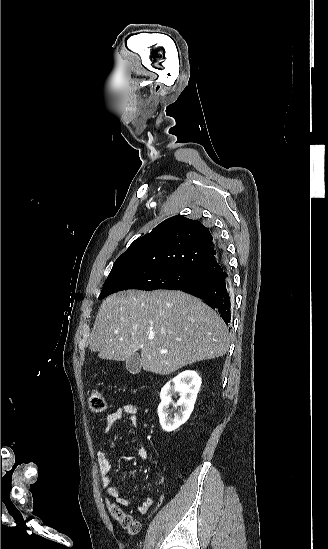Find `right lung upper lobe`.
<instances>
[{
  "label": "right lung upper lobe",
  "instance_id": "cb5924a9",
  "mask_svg": "<svg viewBox=\"0 0 328 549\" xmlns=\"http://www.w3.org/2000/svg\"><path fill=\"white\" fill-rule=\"evenodd\" d=\"M218 250L214 233L200 221L173 216L136 239L115 261L111 272L142 264L178 267L214 277L223 270V254Z\"/></svg>",
  "mask_w": 328,
  "mask_h": 549
}]
</instances>
